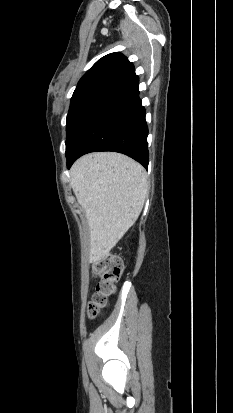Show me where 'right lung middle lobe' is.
<instances>
[{
  "label": "right lung middle lobe",
  "instance_id": "dd1d6c3e",
  "mask_svg": "<svg viewBox=\"0 0 233 413\" xmlns=\"http://www.w3.org/2000/svg\"><path fill=\"white\" fill-rule=\"evenodd\" d=\"M116 80L101 79L77 88L71 99L66 125V156L71 151L81 129L100 100Z\"/></svg>",
  "mask_w": 233,
  "mask_h": 413
}]
</instances>
